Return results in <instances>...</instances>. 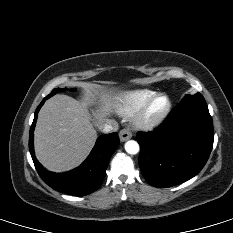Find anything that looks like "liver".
Masks as SVG:
<instances>
[{
	"instance_id": "obj_1",
	"label": "liver",
	"mask_w": 233,
	"mask_h": 233,
	"mask_svg": "<svg viewBox=\"0 0 233 233\" xmlns=\"http://www.w3.org/2000/svg\"><path fill=\"white\" fill-rule=\"evenodd\" d=\"M101 102L93 116L85 105L67 95L57 94L41 108L34 132L35 154L52 172H64L80 165L97 139L95 125L103 124L115 98L98 85L86 89L88 103Z\"/></svg>"
}]
</instances>
